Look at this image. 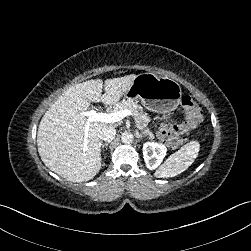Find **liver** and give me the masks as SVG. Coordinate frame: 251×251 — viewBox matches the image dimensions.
I'll return each mask as SVG.
<instances>
[{"label":"liver","instance_id":"1","mask_svg":"<svg viewBox=\"0 0 251 251\" xmlns=\"http://www.w3.org/2000/svg\"><path fill=\"white\" fill-rule=\"evenodd\" d=\"M135 74L106 79L88 80L69 87L42 117L37 145L41 160L51 171L71 182L89 181L101 169L100 131L107 124L90 123L88 144L84 149V127L91 102L115 105L129 90Z\"/></svg>","mask_w":251,"mask_h":251}]
</instances>
